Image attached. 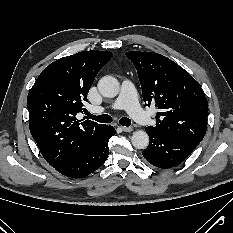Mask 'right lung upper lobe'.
Wrapping results in <instances>:
<instances>
[{"label": "right lung upper lobe", "instance_id": "1", "mask_svg": "<svg viewBox=\"0 0 233 233\" xmlns=\"http://www.w3.org/2000/svg\"><path fill=\"white\" fill-rule=\"evenodd\" d=\"M106 51H83L48 65L27 99L29 128L45 160L54 168L86 152L107 129L91 120L80 123L89 89L99 70L112 58Z\"/></svg>", "mask_w": 233, "mask_h": 233}]
</instances>
